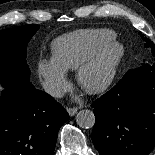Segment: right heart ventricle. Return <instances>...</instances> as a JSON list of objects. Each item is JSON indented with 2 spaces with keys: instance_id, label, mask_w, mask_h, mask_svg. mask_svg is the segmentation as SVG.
<instances>
[{
  "instance_id": "obj_1",
  "label": "right heart ventricle",
  "mask_w": 155,
  "mask_h": 155,
  "mask_svg": "<svg viewBox=\"0 0 155 155\" xmlns=\"http://www.w3.org/2000/svg\"><path fill=\"white\" fill-rule=\"evenodd\" d=\"M116 34L109 29H84L56 39L53 59L65 70H75Z\"/></svg>"
}]
</instances>
